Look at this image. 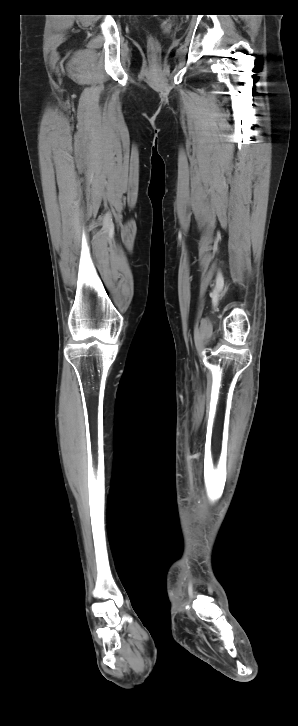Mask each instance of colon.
I'll return each instance as SVG.
<instances>
[{
    "label": "colon",
    "instance_id": "1",
    "mask_svg": "<svg viewBox=\"0 0 298 726\" xmlns=\"http://www.w3.org/2000/svg\"><path fill=\"white\" fill-rule=\"evenodd\" d=\"M148 47L153 54H156L159 51V43L154 37H150L148 39Z\"/></svg>",
    "mask_w": 298,
    "mask_h": 726
}]
</instances>
